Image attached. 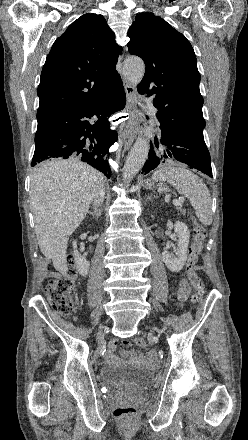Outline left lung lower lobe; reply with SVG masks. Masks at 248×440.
Segmentation results:
<instances>
[{
    "label": "left lung lower lobe",
    "mask_w": 248,
    "mask_h": 440,
    "mask_svg": "<svg viewBox=\"0 0 248 440\" xmlns=\"http://www.w3.org/2000/svg\"><path fill=\"white\" fill-rule=\"evenodd\" d=\"M158 120L162 130L161 144L165 150L162 155H157L151 147L142 173L147 174L165 162H181L212 177L210 154L204 137L195 135L177 124L161 120L159 117ZM156 146L158 147V142Z\"/></svg>",
    "instance_id": "obj_1"
}]
</instances>
